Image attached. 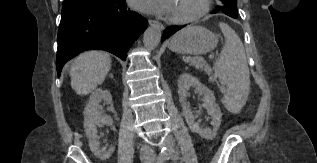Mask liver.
I'll return each instance as SVG.
<instances>
[{
    "mask_svg": "<svg viewBox=\"0 0 317 163\" xmlns=\"http://www.w3.org/2000/svg\"><path fill=\"white\" fill-rule=\"evenodd\" d=\"M111 57L103 51L81 53L69 69L71 87L78 95H87L102 84L111 69Z\"/></svg>",
    "mask_w": 317,
    "mask_h": 163,
    "instance_id": "obj_1",
    "label": "liver"
}]
</instances>
